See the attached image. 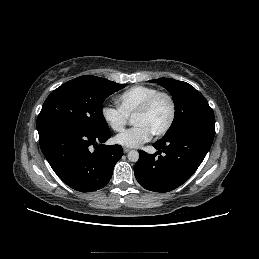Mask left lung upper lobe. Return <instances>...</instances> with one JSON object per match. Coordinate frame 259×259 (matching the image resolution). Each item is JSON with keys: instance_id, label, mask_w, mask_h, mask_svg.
I'll return each mask as SVG.
<instances>
[{"instance_id": "left-lung-upper-lobe-1", "label": "left lung upper lobe", "mask_w": 259, "mask_h": 259, "mask_svg": "<svg viewBox=\"0 0 259 259\" xmlns=\"http://www.w3.org/2000/svg\"><path fill=\"white\" fill-rule=\"evenodd\" d=\"M159 83L172 95L175 116L164 137L187 129H199L215 134V116L205 97L190 84L171 78L150 80Z\"/></svg>"}]
</instances>
